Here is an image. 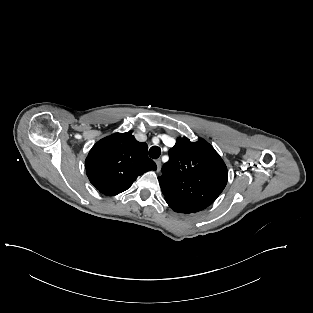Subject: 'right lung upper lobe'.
I'll list each match as a JSON object with an SVG mask.
<instances>
[{"label": "right lung upper lobe", "instance_id": "obj_1", "mask_svg": "<svg viewBox=\"0 0 313 313\" xmlns=\"http://www.w3.org/2000/svg\"><path fill=\"white\" fill-rule=\"evenodd\" d=\"M147 150V144L138 142L131 133H114L90 150L85 160L87 176L104 195H117L139 175L157 169Z\"/></svg>", "mask_w": 313, "mask_h": 313}]
</instances>
